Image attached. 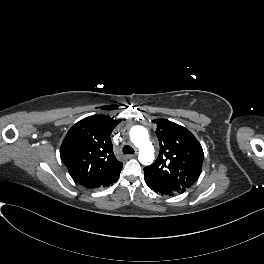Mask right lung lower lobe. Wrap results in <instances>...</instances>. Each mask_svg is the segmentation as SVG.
I'll return each instance as SVG.
<instances>
[{
    "mask_svg": "<svg viewBox=\"0 0 264 264\" xmlns=\"http://www.w3.org/2000/svg\"><path fill=\"white\" fill-rule=\"evenodd\" d=\"M120 172L117 173L115 176H113L110 180H108L107 182L103 183L101 186H98L96 188H105V187L110 186L111 184L117 181V179L119 178Z\"/></svg>",
    "mask_w": 264,
    "mask_h": 264,
    "instance_id": "right-lung-lower-lobe-1",
    "label": "right lung lower lobe"
}]
</instances>
